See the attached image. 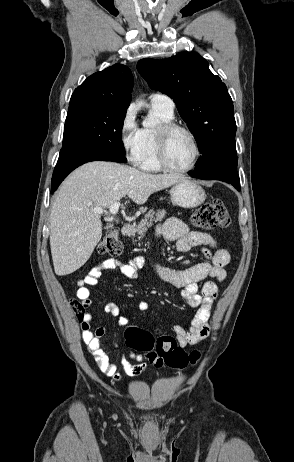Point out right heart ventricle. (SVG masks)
Returning a JSON list of instances; mask_svg holds the SVG:
<instances>
[{
    "label": "right heart ventricle",
    "mask_w": 294,
    "mask_h": 462,
    "mask_svg": "<svg viewBox=\"0 0 294 462\" xmlns=\"http://www.w3.org/2000/svg\"><path fill=\"white\" fill-rule=\"evenodd\" d=\"M152 114L161 124L172 122L174 117L173 114L154 107H152ZM156 132L157 128L144 127L141 129L142 152L138 166L146 172L156 173L161 171L157 160Z\"/></svg>",
    "instance_id": "e07e8e85"
}]
</instances>
